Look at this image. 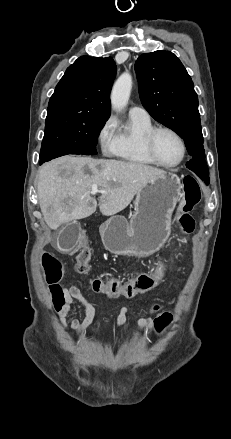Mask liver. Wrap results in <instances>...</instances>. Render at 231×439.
Returning a JSON list of instances; mask_svg holds the SVG:
<instances>
[{
    "instance_id": "liver-1",
    "label": "liver",
    "mask_w": 231,
    "mask_h": 439,
    "mask_svg": "<svg viewBox=\"0 0 231 439\" xmlns=\"http://www.w3.org/2000/svg\"><path fill=\"white\" fill-rule=\"evenodd\" d=\"M163 173L140 163L63 156L39 168L37 194L41 212L52 230L89 217L97 207L91 196V187L96 184L108 192L100 195V212L111 216L124 210L142 187Z\"/></svg>"
}]
</instances>
